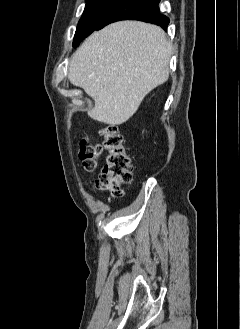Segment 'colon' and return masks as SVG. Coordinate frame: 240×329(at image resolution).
I'll return each instance as SVG.
<instances>
[{
  "instance_id": "obj_1",
  "label": "colon",
  "mask_w": 240,
  "mask_h": 329,
  "mask_svg": "<svg viewBox=\"0 0 240 329\" xmlns=\"http://www.w3.org/2000/svg\"><path fill=\"white\" fill-rule=\"evenodd\" d=\"M102 150L108 152V157L96 181V188L108 191L112 197L121 196L123 186L132 180V163L123 135L116 126L109 125L104 128L101 145L91 144L85 140L81 142L79 157L87 171L96 169Z\"/></svg>"
}]
</instances>
